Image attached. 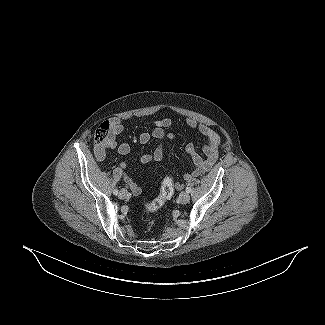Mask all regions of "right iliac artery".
Returning a JSON list of instances; mask_svg holds the SVG:
<instances>
[{"label":"right iliac artery","mask_w":325,"mask_h":325,"mask_svg":"<svg viewBox=\"0 0 325 325\" xmlns=\"http://www.w3.org/2000/svg\"><path fill=\"white\" fill-rule=\"evenodd\" d=\"M113 194H114V195H117V194H118V190L115 189V190L113 191Z\"/></svg>","instance_id":"right-iliac-artery-1"}]
</instances>
